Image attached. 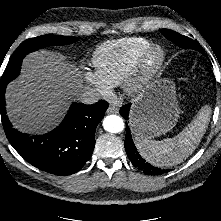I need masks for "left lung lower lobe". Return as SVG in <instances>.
Returning <instances> with one entry per match:
<instances>
[{
	"instance_id": "left-lung-lower-lobe-1",
	"label": "left lung lower lobe",
	"mask_w": 221,
	"mask_h": 221,
	"mask_svg": "<svg viewBox=\"0 0 221 221\" xmlns=\"http://www.w3.org/2000/svg\"><path fill=\"white\" fill-rule=\"evenodd\" d=\"M129 110H130V104H127L125 106H123L120 109V113L121 115L125 118L128 119V115H129ZM125 150L126 153L129 157V159L131 160L132 164L138 168L139 170H141L142 172H144L145 174L148 175H159L162 173H166L169 172V170H161L160 168L154 167L152 166L150 163H147L138 153L134 142L132 140V136L130 133V129L128 127V124L126 123V137H125Z\"/></svg>"
}]
</instances>
